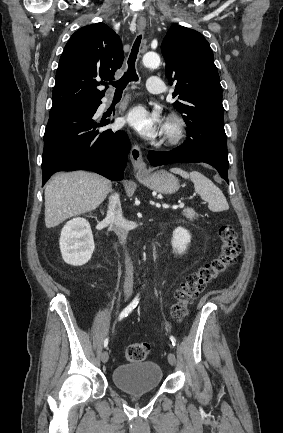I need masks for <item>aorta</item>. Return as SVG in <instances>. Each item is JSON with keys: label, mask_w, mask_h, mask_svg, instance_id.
<instances>
[{"label": "aorta", "mask_w": 283, "mask_h": 433, "mask_svg": "<svg viewBox=\"0 0 283 433\" xmlns=\"http://www.w3.org/2000/svg\"><path fill=\"white\" fill-rule=\"evenodd\" d=\"M143 64L149 68H156L160 65V57L155 52H147L143 56Z\"/></svg>", "instance_id": "1"}]
</instances>
